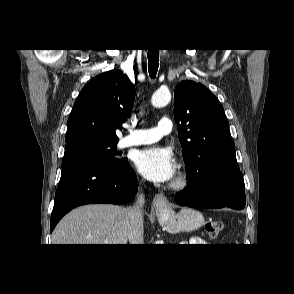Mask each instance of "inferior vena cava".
Listing matches in <instances>:
<instances>
[{"label": "inferior vena cava", "instance_id": "inferior-vena-cava-1", "mask_svg": "<svg viewBox=\"0 0 294 294\" xmlns=\"http://www.w3.org/2000/svg\"><path fill=\"white\" fill-rule=\"evenodd\" d=\"M145 199L140 195L133 207L127 209V232L129 244H144L143 205Z\"/></svg>", "mask_w": 294, "mask_h": 294}]
</instances>
